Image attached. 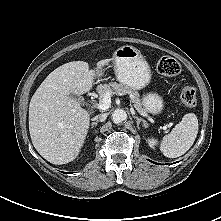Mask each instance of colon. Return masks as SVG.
<instances>
[{"instance_id": "obj_1", "label": "colon", "mask_w": 221, "mask_h": 221, "mask_svg": "<svg viewBox=\"0 0 221 221\" xmlns=\"http://www.w3.org/2000/svg\"><path fill=\"white\" fill-rule=\"evenodd\" d=\"M181 67L179 62L169 56L161 57L157 62V71L164 76H176L180 73ZM181 101L189 108L197 104V92L193 87L185 86L181 90Z\"/></svg>"}]
</instances>
